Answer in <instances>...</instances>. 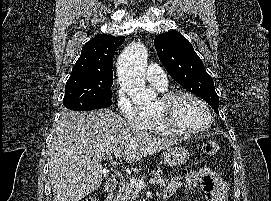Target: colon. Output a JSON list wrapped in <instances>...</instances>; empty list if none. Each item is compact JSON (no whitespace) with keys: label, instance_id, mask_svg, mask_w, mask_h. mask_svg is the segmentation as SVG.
<instances>
[{"label":"colon","instance_id":"1","mask_svg":"<svg viewBox=\"0 0 271 201\" xmlns=\"http://www.w3.org/2000/svg\"><path fill=\"white\" fill-rule=\"evenodd\" d=\"M220 144L216 141H208L203 146L204 153L209 157H216L220 153ZM84 201H98L96 197H87Z\"/></svg>","mask_w":271,"mask_h":201}]
</instances>
